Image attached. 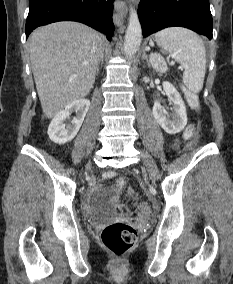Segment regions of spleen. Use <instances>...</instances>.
I'll return each mask as SVG.
<instances>
[{
    "instance_id": "3e777b00",
    "label": "spleen",
    "mask_w": 233,
    "mask_h": 284,
    "mask_svg": "<svg viewBox=\"0 0 233 284\" xmlns=\"http://www.w3.org/2000/svg\"><path fill=\"white\" fill-rule=\"evenodd\" d=\"M162 53H169L184 69L183 82L187 89L199 93L206 72V51L202 39L194 32L180 27L167 28L155 34ZM153 64L154 54L150 56Z\"/></svg>"
}]
</instances>
